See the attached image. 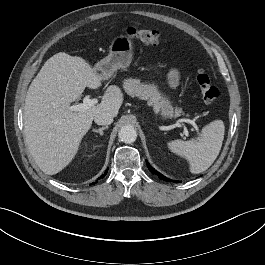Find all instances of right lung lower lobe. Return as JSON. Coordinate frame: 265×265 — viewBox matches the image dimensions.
Segmentation results:
<instances>
[{
	"label": "right lung lower lobe",
	"instance_id": "1",
	"mask_svg": "<svg viewBox=\"0 0 265 265\" xmlns=\"http://www.w3.org/2000/svg\"><path fill=\"white\" fill-rule=\"evenodd\" d=\"M108 169L105 171V173L101 176V178L105 177V175L107 174ZM100 179V178H99ZM92 184H95V182H93Z\"/></svg>",
	"mask_w": 265,
	"mask_h": 265
}]
</instances>
